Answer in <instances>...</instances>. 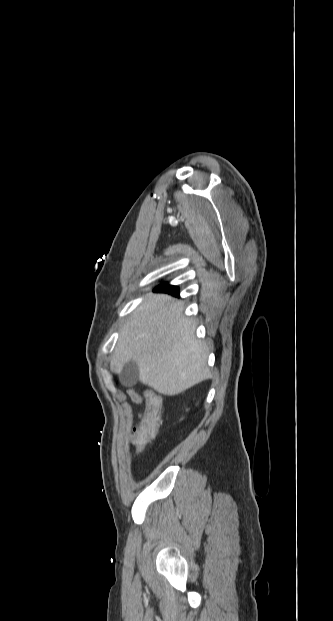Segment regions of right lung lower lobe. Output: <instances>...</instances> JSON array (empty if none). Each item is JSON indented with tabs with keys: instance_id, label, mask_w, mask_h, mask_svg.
I'll list each match as a JSON object with an SVG mask.
<instances>
[{
	"instance_id": "1",
	"label": "right lung lower lobe",
	"mask_w": 333,
	"mask_h": 621,
	"mask_svg": "<svg viewBox=\"0 0 333 621\" xmlns=\"http://www.w3.org/2000/svg\"><path fill=\"white\" fill-rule=\"evenodd\" d=\"M154 291L167 292V293H169L171 295H174V296H178L179 295V288L177 286H172V285H169L167 283L157 286L154 289Z\"/></svg>"
}]
</instances>
